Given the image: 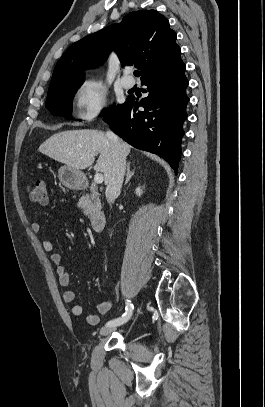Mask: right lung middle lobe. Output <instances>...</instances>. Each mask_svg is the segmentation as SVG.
Here are the masks:
<instances>
[{
  "mask_svg": "<svg viewBox=\"0 0 265 407\" xmlns=\"http://www.w3.org/2000/svg\"><path fill=\"white\" fill-rule=\"evenodd\" d=\"M82 84L83 81H64L50 85L45 104L46 108L54 115L71 119L73 97ZM105 113H107V111H105L104 114Z\"/></svg>",
  "mask_w": 265,
  "mask_h": 407,
  "instance_id": "obj_1",
  "label": "right lung middle lobe"
}]
</instances>
